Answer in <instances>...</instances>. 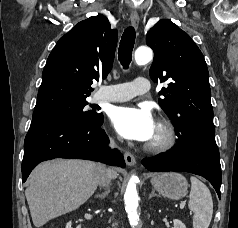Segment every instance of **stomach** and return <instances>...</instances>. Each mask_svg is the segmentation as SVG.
<instances>
[{
  "mask_svg": "<svg viewBox=\"0 0 238 228\" xmlns=\"http://www.w3.org/2000/svg\"><path fill=\"white\" fill-rule=\"evenodd\" d=\"M151 184L160 194L174 200L184 197L188 192L186 178L177 172L155 174L151 177Z\"/></svg>",
  "mask_w": 238,
  "mask_h": 228,
  "instance_id": "stomach-1",
  "label": "stomach"
}]
</instances>
